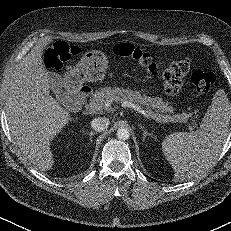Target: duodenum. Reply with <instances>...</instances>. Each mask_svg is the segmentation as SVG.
<instances>
[{
    "label": "duodenum",
    "mask_w": 231,
    "mask_h": 231,
    "mask_svg": "<svg viewBox=\"0 0 231 231\" xmlns=\"http://www.w3.org/2000/svg\"><path fill=\"white\" fill-rule=\"evenodd\" d=\"M92 93V88L83 84H71L66 82L63 94V102L71 108H79L82 106Z\"/></svg>",
    "instance_id": "obj_1"
}]
</instances>
